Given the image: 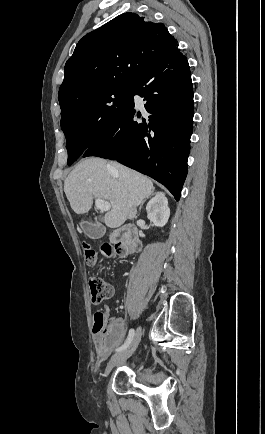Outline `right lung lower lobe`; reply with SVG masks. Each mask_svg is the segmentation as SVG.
<instances>
[{"label":"right lung lower lobe","mask_w":265,"mask_h":434,"mask_svg":"<svg viewBox=\"0 0 265 434\" xmlns=\"http://www.w3.org/2000/svg\"><path fill=\"white\" fill-rule=\"evenodd\" d=\"M132 89L125 115L82 157L117 160L162 183L178 201L187 175L194 114L190 68L178 44L139 75ZM134 95L146 102L142 115Z\"/></svg>","instance_id":"1"}]
</instances>
